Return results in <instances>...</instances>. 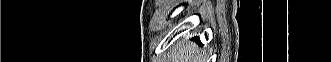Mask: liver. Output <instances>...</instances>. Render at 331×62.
<instances>
[{"instance_id":"obj_1","label":"liver","mask_w":331,"mask_h":62,"mask_svg":"<svg viewBox=\"0 0 331 62\" xmlns=\"http://www.w3.org/2000/svg\"><path fill=\"white\" fill-rule=\"evenodd\" d=\"M197 48L195 45L190 44L187 46L179 47L173 56V62H201L200 57L196 55Z\"/></svg>"}]
</instances>
